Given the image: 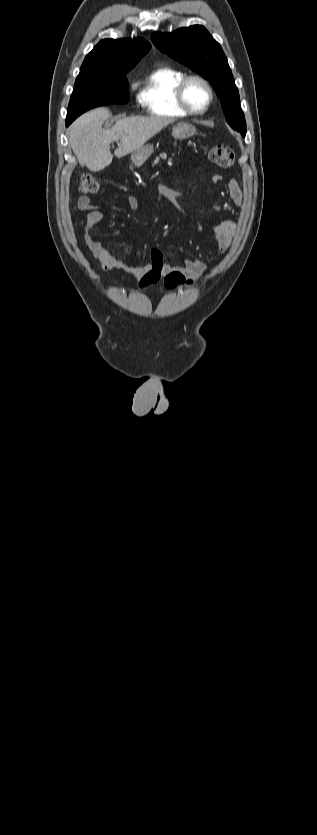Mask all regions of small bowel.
<instances>
[{
    "instance_id": "1",
    "label": "small bowel",
    "mask_w": 317,
    "mask_h": 835,
    "mask_svg": "<svg viewBox=\"0 0 317 835\" xmlns=\"http://www.w3.org/2000/svg\"><path fill=\"white\" fill-rule=\"evenodd\" d=\"M227 193L235 205L240 206L243 200V193L239 183L230 179L226 183ZM126 206L130 210H135L138 207L137 199L134 196L127 198ZM77 208L80 212H87V216L82 226V237L92 253L98 260L101 268L107 272L117 270L134 279L140 289H147L156 284L160 277L171 271L178 270L185 277L190 279L200 278L206 269L205 263L200 259H186L182 262L180 268L171 269L164 264V254L159 248H154L151 251V262L141 267H127L122 261L112 255L106 249L96 236V227L103 219V211L101 208L91 204L89 196H81L77 202ZM237 229L235 221L230 219H223L213 227L214 238L218 244L221 252L226 251L229 247L232 238Z\"/></svg>"
}]
</instances>
